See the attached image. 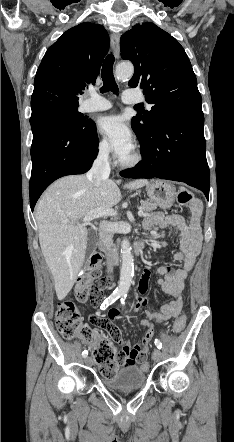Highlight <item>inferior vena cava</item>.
Returning a JSON list of instances; mask_svg holds the SVG:
<instances>
[{"label": "inferior vena cava", "instance_id": "1", "mask_svg": "<svg viewBox=\"0 0 234 442\" xmlns=\"http://www.w3.org/2000/svg\"><path fill=\"white\" fill-rule=\"evenodd\" d=\"M109 149L101 148L99 154L95 159L91 169L88 171L86 177L88 180L92 181L96 186L104 180H107L110 174L109 165ZM99 236L107 250L110 251L113 243V233L110 230L107 222L103 221L100 224ZM113 271V262L110 255L107 257V272L111 273Z\"/></svg>", "mask_w": 234, "mask_h": 442}]
</instances>
